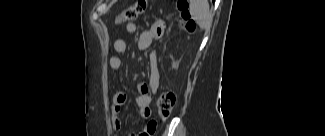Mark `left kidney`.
<instances>
[{"mask_svg":"<svg viewBox=\"0 0 325 136\" xmlns=\"http://www.w3.org/2000/svg\"><path fill=\"white\" fill-rule=\"evenodd\" d=\"M178 67H179V62L178 61H173L172 62V68L173 69H178Z\"/></svg>","mask_w":325,"mask_h":136,"instance_id":"1","label":"left kidney"}]
</instances>
